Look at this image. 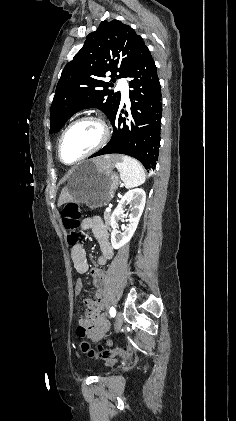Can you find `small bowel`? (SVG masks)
<instances>
[{
  "instance_id": "c3829d8e",
  "label": "small bowel",
  "mask_w": 236,
  "mask_h": 421,
  "mask_svg": "<svg viewBox=\"0 0 236 421\" xmlns=\"http://www.w3.org/2000/svg\"><path fill=\"white\" fill-rule=\"evenodd\" d=\"M82 231L91 230L100 243H106L108 239V230L102 220L99 217H88L85 218L80 225ZM75 256L77 261L80 263V270L85 271L87 269V262L85 253L82 246L75 249ZM82 283L78 282L75 287L76 293H80L82 290ZM99 334L90 335L94 340L100 339L108 331V324L103 317L98 319Z\"/></svg>"
}]
</instances>
